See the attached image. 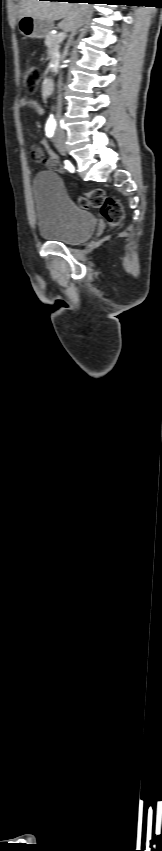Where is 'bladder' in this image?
Instances as JSON below:
<instances>
[{"label": "bladder", "mask_w": 162, "mask_h": 851, "mask_svg": "<svg viewBox=\"0 0 162 851\" xmlns=\"http://www.w3.org/2000/svg\"><path fill=\"white\" fill-rule=\"evenodd\" d=\"M37 230L41 237L75 245L88 240L96 227L95 216L75 204L55 172L38 173L32 182Z\"/></svg>", "instance_id": "bladder-1"}]
</instances>
